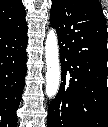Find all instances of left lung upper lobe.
Wrapping results in <instances>:
<instances>
[{"instance_id": "left-lung-upper-lobe-1", "label": "left lung upper lobe", "mask_w": 108, "mask_h": 127, "mask_svg": "<svg viewBox=\"0 0 108 127\" xmlns=\"http://www.w3.org/2000/svg\"><path fill=\"white\" fill-rule=\"evenodd\" d=\"M76 68H77V67H76ZM76 68H71V67H70V69H69V74H70V76H69V77H72L73 79L77 78V77L75 76Z\"/></svg>"}]
</instances>
